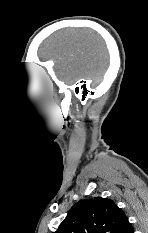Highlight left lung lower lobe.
Here are the masks:
<instances>
[{"mask_svg":"<svg viewBox=\"0 0 148 233\" xmlns=\"http://www.w3.org/2000/svg\"><path fill=\"white\" fill-rule=\"evenodd\" d=\"M126 233H134L133 227L129 228Z\"/></svg>","mask_w":148,"mask_h":233,"instance_id":"left-lung-lower-lobe-1","label":"left lung lower lobe"}]
</instances>
